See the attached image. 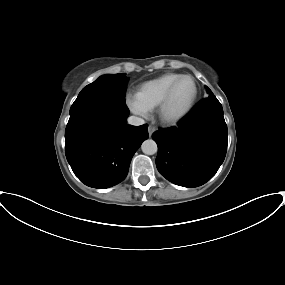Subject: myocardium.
<instances>
[{
    "instance_id": "1",
    "label": "myocardium",
    "mask_w": 285,
    "mask_h": 285,
    "mask_svg": "<svg viewBox=\"0 0 285 285\" xmlns=\"http://www.w3.org/2000/svg\"><path fill=\"white\" fill-rule=\"evenodd\" d=\"M191 79L193 84H194V95L189 103V105L179 114L177 115H170L167 111L170 99L172 97V94L178 85V83L182 79ZM198 95H199V88L196 79L188 74H184L179 76L176 80L172 82V84L168 87L167 91L165 92L164 96L162 97L160 103L158 104V116L160 121L165 124V125H175L184 120L194 109L196 106L197 100H198Z\"/></svg>"
}]
</instances>
